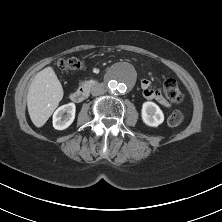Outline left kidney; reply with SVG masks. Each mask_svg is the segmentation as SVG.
<instances>
[{"label":"left kidney","instance_id":"obj_1","mask_svg":"<svg viewBox=\"0 0 222 222\" xmlns=\"http://www.w3.org/2000/svg\"><path fill=\"white\" fill-rule=\"evenodd\" d=\"M143 122L151 127H157L164 121V114L157 104L151 101L144 102L141 112Z\"/></svg>","mask_w":222,"mask_h":222}]
</instances>
